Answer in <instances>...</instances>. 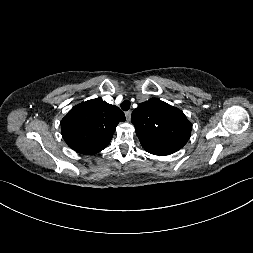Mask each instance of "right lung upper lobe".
<instances>
[{
    "mask_svg": "<svg viewBox=\"0 0 253 253\" xmlns=\"http://www.w3.org/2000/svg\"><path fill=\"white\" fill-rule=\"evenodd\" d=\"M124 113L115 105L97 98L74 106L61 121L68 146L81 154H94L107 147Z\"/></svg>",
    "mask_w": 253,
    "mask_h": 253,
    "instance_id": "cb5924a9",
    "label": "right lung upper lobe"
}]
</instances>
